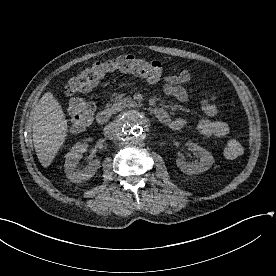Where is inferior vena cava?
Here are the masks:
<instances>
[{
    "label": "inferior vena cava",
    "mask_w": 276,
    "mask_h": 276,
    "mask_svg": "<svg viewBox=\"0 0 276 276\" xmlns=\"http://www.w3.org/2000/svg\"><path fill=\"white\" fill-rule=\"evenodd\" d=\"M115 126L116 124L114 122L109 123L104 128V135L107 137H112L115 134Z\"/></svg>",
    "instance_id": "1"
}]
</instances>
